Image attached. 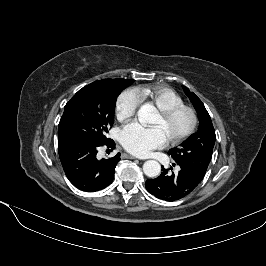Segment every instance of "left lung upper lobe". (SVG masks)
I'll list each match as a JSON object with an SVG mask.
<instances>
[{"mask_svg":"<svg viewBox=\"0 0 266 266\" xmlns=\"http://www.w3.org/2000/svg\"><path fill=\"white\" fill-rule=\"evenodd\" d=\"M183 89L197 111L200 120L199 129L180 146L170 149L168 154L178 165L186 167L195 176L203 179L212 157L216 139L215 130L202 101L187 87L183 86Z\"/></svg>","mask_w":266,"mask_h":266,"instance_id":"obj_1","label":"left lung upper lobe"}]
</instances>
